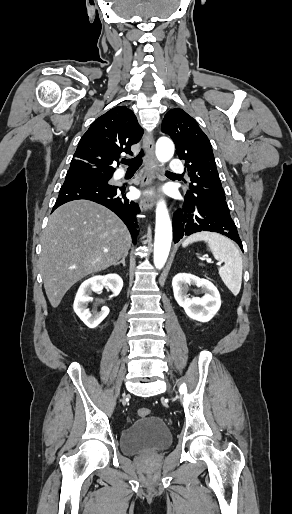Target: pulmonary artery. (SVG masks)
<instances>
[{
  "mask_svg": "<svg viewBox=\"0 0 292 514\" xmlns=\"http://www.w3.org/2000/svg\"><path fill=\"white\" fill-rule=\"evenodd\" d=\"M169 169L172 171V172H182L183 169H184V164L182 161H172L170 164H169ZM122 175V174H120Z\"/></svg>",
  "mask_w": 292,
  "mask_h": 514,
  "instance_id": "1",
  "label": "pulmonary artery"
}]
</instances>
